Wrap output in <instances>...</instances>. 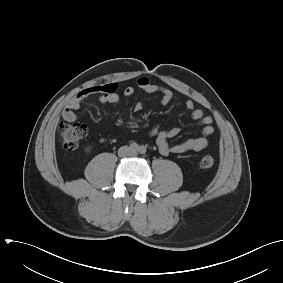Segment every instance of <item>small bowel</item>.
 <instances>
[{
	"instance_id": "1",
	"label": "small bowel",
	"mask_w": 283,
	"mask_h": 283,
	"mask_svg": "<svg viewBox=\"0 0 283 283\" xmlns=\"http://www.w3.org/2000/svg\"><path fill=\"white\" fill-rule=\"evenodd\" d=\"M137 87L147 94H160L162 105H167L174 99V94L171 90L151 83L146 77H140L137 80ZM134 93L135 88L132 86H126L123 89V94L127 97L132 96ZM90 95H98L100 102L103 104L116 105L120 100L116 83L88 87L69 100L62 113L63 119L67 122L76 120V110L79 109L81 102ZM185 107L190 112L191 118L202 126V135L176 144H170L169 141L179 134V128L161 130L158 126H154L149 134L151 137L155 138L158 149L162 155L184 154L190 151L198 152L206 149L208 146V138L215 131L212 125V117L205 115L200 108L195 106L192 100H187ZM142 109L143 105L141 103L135 104V111H141Z\"/></svg>"
}]
</instances>
